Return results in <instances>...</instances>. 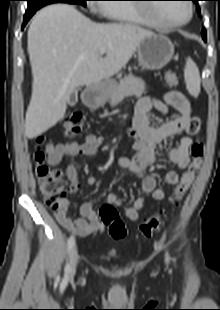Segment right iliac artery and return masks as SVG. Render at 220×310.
<instances>
[{"label":"right iliac artery","instance_id":"1","mask_svg":"<svg viewBox=\"0 0 220 310\" xmlns=\"http://www.w3.org/2000/svg\"><path fill=\"white\" fill-rule=\"evenodd\" d=\"M74 244H75L74 236H70L69 239H68V242H67L68 253L71 251V249L73 248ZM68 270H69V264L67 263L66 267H65V271L68 272Z\"/></svg>","mask_w":220,"mask_h":310}]
</instances>
